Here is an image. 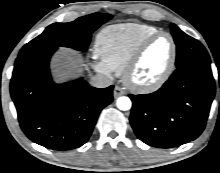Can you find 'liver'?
<instances>
[{
    "instance_id": "liver-1",
    "label": "liver",
    "mask_w": 220,
    "mask_h": 173,
    "mask_svg": "<svg viewBox=\"0 0 220 173\" xmlns=\"http://www.w3.org/2000/svg\"><path fill=\"white\" fill-rule=\"evenodd\" d=\"M86 68L80 54L69 48H60L51 60V70L57 81L73 79Z\"/></svg>"
}]
</instances>
